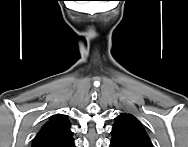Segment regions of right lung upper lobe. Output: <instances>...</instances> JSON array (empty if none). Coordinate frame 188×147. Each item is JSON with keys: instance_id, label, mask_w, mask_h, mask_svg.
Instances as JSON below:
<instances>
[{"instance_id": "1", "label": "right lung upper lobe", "mask_w": 188, "mask_h": 147, "mask_svg": "<svg viewBox=\"0 0 188 147\" xmlns=\"http://www.w3.org/2000/svg\"><path fill=\"white\" fill-rule=\"evenodd\" d=\"M32 147H74L68 118L62 114L51 116L34 138Z\"/></svg>"}]
</instances>
